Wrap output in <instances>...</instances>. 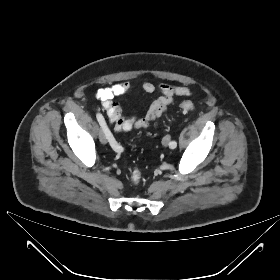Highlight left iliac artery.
Instances as JSON below:
<instances>
[{
    "label": "left iliac artery",
    "mask_w": 280,
    "mask_h": 280,
    "mask_svg": "<svg viewBox=\"0 0 280 280\" xmlns=\"http://www.w3.org/2000/svg\"><path fill=\"white\" fill-rule=\"evenodd\" d=\"M169 147H170L171 149H175V148L177 147V142H176V141H171V142L169 143Z\"/></svg>",
    "instance_id": "1"
}]
</instances>
